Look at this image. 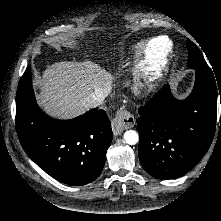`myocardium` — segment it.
<instances>
[{
	"instance_id": "myocardium-1",
	"label": "myocardium",
	"mask_w": 221,
	"mask_h": 221,
	"mask_svg": "<svg viewBox=\"0 0 221 221\" xmlns=\"http://www.w3.org/2000/svg\"><path fill=\"white\" fill-rule=\"evenodd\" d=\"M157 39L167 41V47L162 54H155L152 50V46ZM173 52V41L165 35L153 37L143 44L141 57L132 69L138 92L143 93L147 91L148 85H154L162 80L171 62Z\"/></svg>"
}]
</instances>
